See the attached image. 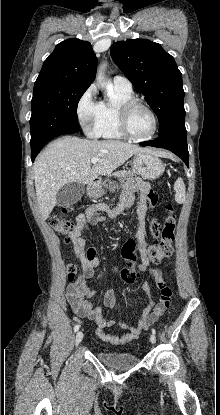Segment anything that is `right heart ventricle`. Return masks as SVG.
<instances>
[{
	"label": "right heart ventricle",
	"mask_w": 220,
	"mask_h": 415,
	"mask_svg": "<svg viewBox=\"0 0 220 415\" xmlns=\"http://www.w3.org/2000/svg\"><path fill=\"white\" fill-rule=\"evenodd\" d=\"M130 99H133L132 91L122 92L114 88L110 99L106 102H101L102 115L98 126V137L105 139L124 138L117 126L116 109L120 103Z\"/></svg>",
	"instance_id": "e07e8e85"
}]
</instances>
